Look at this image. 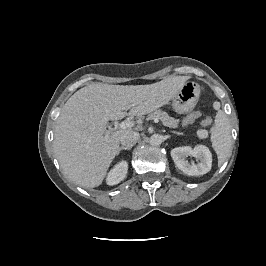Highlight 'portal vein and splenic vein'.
Segmentation results:
<instances>
[{"label": "portal vein and splenic vein", "mask_w": 266, "mask_h": 266, "mask_svg": "<svg viewBox=\"0 0 266 266\" xmlns=\"http://www.w3.org/2000/svg\"><path fill=\"white\" fill-rule=\"evenodd\" d=\"M130 107H131V106L128 105V106H127V109H129ZM154 122H156V123L159 122V119H158V118H155V119H154ZM133 126H134V122H133V121H131V120H124V121H122L121 123L115 125L114 128H110V129L108 130V133L112 132L113 130H117V129H127V128H131V127H133ZM106 138H108V134L106 135Z\"/></svg>", "instance_id": "portal-vein-and-splenic-vein-1"}]
</instances>
